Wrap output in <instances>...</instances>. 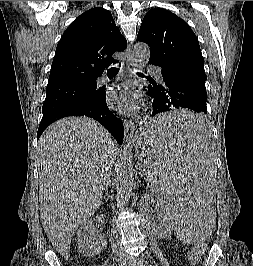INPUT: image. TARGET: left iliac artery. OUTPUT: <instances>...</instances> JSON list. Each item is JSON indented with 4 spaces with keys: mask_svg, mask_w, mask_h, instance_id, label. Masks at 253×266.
<instances>
[{
    "mask_svg": "<svg viewBox=\"0 0 253 266\" xmlns=\"http://www.w3.org/2000/svg\"><path fill=\"white\" fill-rule=\"evenodd\" d=\"M146 266H151V265H149V264H146Z\"/></svg>",
    "mask_w": 253,
    "mask_h": 266,
    "instance_id": "left-iliac-artery-1",
    "label": "left iliac artery"
}]
</instances>
